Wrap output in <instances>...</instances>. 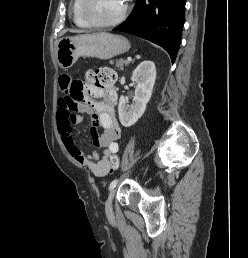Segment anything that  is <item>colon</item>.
I'll return each mask as SVG.
<instances>
[{"instance_id": "colon-1", "label": "colon", "mask_w": 248, "mask_h": 258, "mask_svg": "<svg viewBox=\"0 0 248 258\" xmlns=\"http://www.w3.org/2000/svg\"><path fill=\"white\" fill-rule=\"evenodd\" d=\"M116 81V73L110 68H101L98 70H89L86 72V82H78V95L77 98L82 96L83 90L86 86L97 85L102 87H109ZM119 158L113 156L111 159V171L118 168Z\"/></svg>"}]
</instances>
